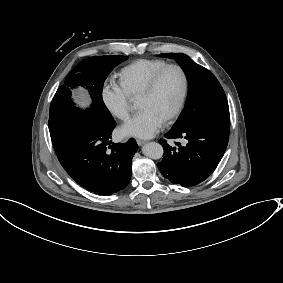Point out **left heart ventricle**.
I'll use <instances>...</instances> for the list:
<instances>
[{
	"label": "left heart ventricle",
	"instance_id": "left-heart-ventricle-1",
	"mask_svg": "<svg viewBox=\"0 0 283 283\" xmlns=\"http://www.w3.org/2000/svg\"><path fill=\"white\" fill-rule=\"evenodd\" d=\"M182 91V77L177 69L168 70L148 96L138 98V108H149L163 118L176 106Z\"/></svg>",
	"mask_w": 283,
	"mask_h": 283
}]
</instances>
